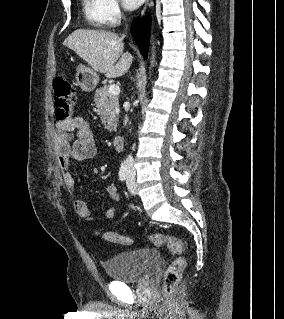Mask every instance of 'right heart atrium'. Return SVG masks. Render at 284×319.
<instances>
[{"label":"right heart atrium","instance_id":"1","mask_svg":"<svg viewBox=\"0 0 284 319\" xmlns=\"http://www.w3.org/2000/svg\"><path fill=\"white\" fill-rule=\"evenodd\" d=\"M104 11L109 25H116L123 18V10L117 0H104Z\"/></svg>","mask_w":284,"mask_h":319}]
</instances>
